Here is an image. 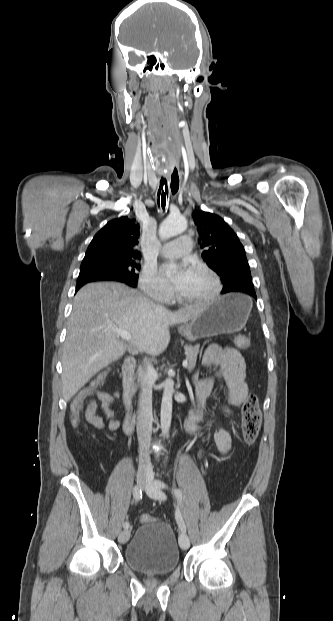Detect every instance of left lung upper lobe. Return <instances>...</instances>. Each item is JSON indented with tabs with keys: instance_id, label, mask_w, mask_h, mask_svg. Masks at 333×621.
<instances>
[{
	"instance_id": "obj_1",
	"label": "left lung upper lobe",
	"mask_w": 333,
	"mask_h": 621,
	"mask_svg": "<svg viewBox=\"0 0 333 621\" xmlns=\"http://www.w3.org/2000/svg\"><path fill=\"white\" fill-rule=\"evenodd\" d=\"M192 217L200 235L203 259L223 283L222 294L254 289L243 245L236 233L218 215L194 211Z\"/></svg>"
}]
</instances>
